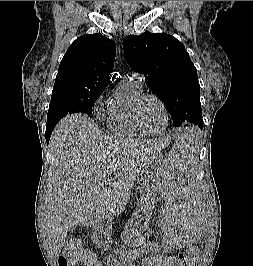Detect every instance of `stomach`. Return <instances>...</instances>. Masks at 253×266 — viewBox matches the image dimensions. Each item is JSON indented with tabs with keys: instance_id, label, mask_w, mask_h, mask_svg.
Returning <instances> with one entry per match:
<instances>
[{
	"instance_id": "stomach-1",
	"label": "stomach",
	"mask_w": 253,
	"mask_h": 266,
	"mask_svg": "<svg viewBox=\"0 0 253 266\" xmlns=\"http://www.w3.org/2000/svg\"><path fill=\"white\" fill-rule=\"evenodd\" d=\"M162 160H164L162 154L157 153L147 160L142 169V177L140 180L141 200L138 209L128 220L121 236L126 243L132 246L139 247L145 243V230L150 225L153 210L152 203L157 193V186L164 184L160 182L161 178H163L164 171L161 168ZM107 243L105 241L103 245Z\"/></svg>"
}]
</instances>
